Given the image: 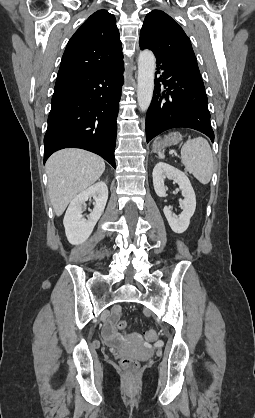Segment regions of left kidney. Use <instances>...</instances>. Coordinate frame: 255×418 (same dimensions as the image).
Returning <instances> with one entry per match:
<instances>
[{"instance_id": "obj_1", "label": "left kidney", "mask_w": 255, "mask_h": 418, "mask_svg": "<svg viewBox=\"0 0 255 418\" xmlns=\"http://www.w3.org/2000/svg\"><path fill=\"white\" fill-rule=\"evenodd\" d=\"M153 185L156 194L159 197H166V187L164 180L166 178L173 180L178 184L184 197L182 201V212L179 216L173 214L170 207L165 206L163 211L171 229L178 234L183 233L189 226L190 219L196 208L195 192L192 188L189 178L179 169L163 162H159L153 169Z\"/></svg>"}]
</instances>
